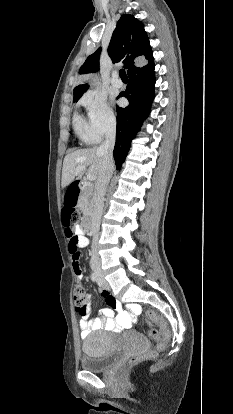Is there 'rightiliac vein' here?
<instances>
[{"label": "right iliac vein", "mask_w": 233, "mask_h": 414, "mask_svg": "<svg viewBox=\"0 0 233 414\" xmlns=\"http://www.w3.org/2000/svg\"><path fill=\"white\" fill-rule=\"evenodd\" d=\"M95 273L99 276H101V272L99 270H95Z\"/></svg>", "instance_id": "obj_1"}]
</instances>
